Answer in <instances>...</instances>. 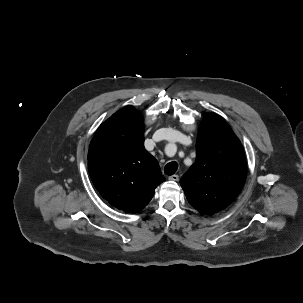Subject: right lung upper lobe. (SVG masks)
Masks as SVG:
<instances>
[{
    "mask_svg": "<svg viewBox=\"0 0 303 303\" xmlns=\"http://www.w3.org/2000/svg\"><path fill=\"white\" fill-rule=\"evenodd\" d=\"M88 169L103 198L131 213L142 210L165 180L157 160L144 148L143 117L133 106L117 111L97 129Z\"/></svg>",
    "mask_w": 303,
    "mask_h": 303,
    "instance_id": "right-lung-upper-lobe-1",
    "label": "right lung upper lobe"
}]
</instances>
